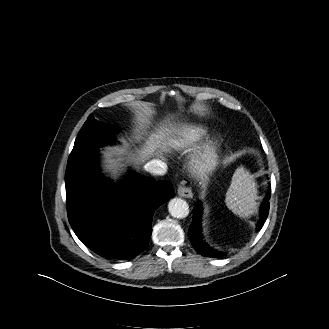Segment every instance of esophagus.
I'll list each match as a JSON object with an SVG mask.
<instances>
[{"label":"esophagus","instance_id":"34e87169","mask_svg":"<svg viewBox=\"0 0 329 329\" xmlns=\"http://www.w3.org/2000/svg\"><path fill=\"white\" fill-rule=\"evenodd\" d=\"M178 194L185 198H191L193 196L191 188L185 186L183 182L178 186Z\"/></svg>","mask_w":329,"mask_h":329}]
</instances>
